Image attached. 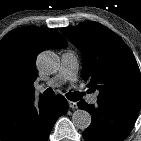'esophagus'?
Here are the masks:
<instances>
[{"mask_svg": "<svg viewBox=\"0 0 141 141\" xmlns=\"http://www.w3.org/2000/svg\"><path fill=\"white\" fill-rule=\"evenodd\" d=\"M68 105L72 109H77L78 107L77 102H74V101H68Z\"/></svg>", "mask_w": 141, "mask_h": 141, "instance_id": "obj_1", "label": "esophagus"}]
</instances>
